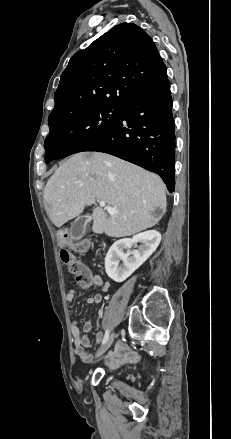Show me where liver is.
<instances>
[{
    "mask_svg": "<svg viewBox=\"0 0 231 439\" xmlns=\"http://www.w3.org/2000/svg\"><path fill=\"white\" fill-rule=\"evenodd\" d=\"M96 200L118 213L108 215ZM44 202L56 227L95 205L92 231L115 238L152 227L166 211L165 185L158 175L99 152H80L62 163L46 184Z\"/></svg>",
    "mask_w": 231,
    "mask_h": 439,
    "instance_id": "liver-1",
    "label": "liver"
}]
</instances>
